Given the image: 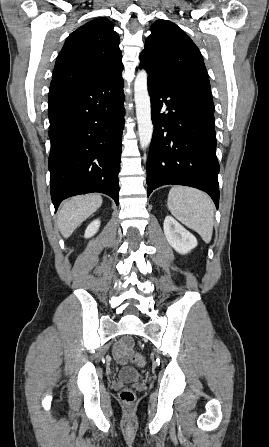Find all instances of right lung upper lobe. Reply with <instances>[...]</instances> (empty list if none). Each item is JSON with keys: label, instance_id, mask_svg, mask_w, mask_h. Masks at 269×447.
Returning <instances> with one entry per match:
<instances>
[{"label": "right lung upper lobe", "instance_id": "cb5924a9", "mask_svg": "<svg viewBox=\"0 0 269 447\" xmlns=\"http://www.w3.org/2000/svg\"><path fill=\"white\" fill-rule=\"evenodd\" d=\"M119 35L106 18L92 20L68 36L60 51L50 89L100 83L123 70Z\"/></svg>", "mask_w": 269, "mask_h": 447}]
</instances>
